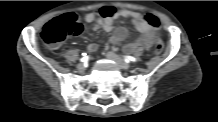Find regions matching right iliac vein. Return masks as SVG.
Wrapping results in <instances>:
<instances>
[{"mask_svg": "<svg viewBox=\"0 0 218 122\" xmlns=\"http://www.w3.org/2000/svg\"><path fill=\"white\" fill-rule=\"evenodd\" d=\"M77 69H78L79 71H83V70L85 69L84 64H83V63H79V64L77 65Z\"/></svg>", "mask_w": 218, "mask_h": 122, "instance_id": "obj_1", "label": "right iliac vein"}]
</instances>
